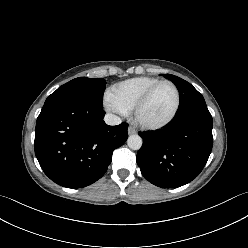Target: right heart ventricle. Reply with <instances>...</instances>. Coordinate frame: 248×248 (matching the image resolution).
<instances>
[{
  "label": "right heart ventricle",
  "instance_id": "right-heart-ventricle-1",
  "mask_svg": "<svg viewBox=\"0 0 248 248\" xmlns=\"http://www.w3.org/2000/svg\"><path fill=\"white\" fill-rule=\"evenodd\" d=\"M160 80L155 77L141 76L115 84L111 89L113 99L127 112L132 111L141 96Z\"/></svg>",
  "mask_w": 248,
  "mask_h": 248
}]
</instances>
